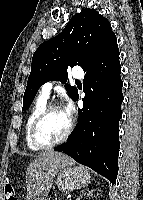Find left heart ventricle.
<instances>
[{"mask_svg":"<svg viewBox=\"0 0 143 200\" xmlns=\"http://www.w3.org/2000/svg\"><path fill=\"white\" fill-rule=\"evenodd\" d=\"M69 117L64 110L52 111L39 129V137L44 142H52L65 133L69 125Z\"/></svg>","mask_w":143,"mask_h":200,"instance_id":"1","label":"left heart ventricle"}]
</instances>
